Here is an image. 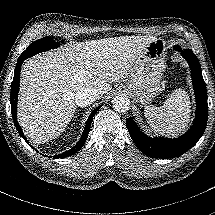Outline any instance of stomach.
<instances>
[{
	"mask_svg": "<svg viewBox=\"0 0 215 215\" xmlns=\"http://www.w3.org/2000/svg\"><path fill=\"white\" fill-rule=\"evenodd\" d=\"M167 49L168 43L164 39L152 42L135 62L130 80L118 91H127L140 104L150 103L162 91L161 79L166 69Z\"/></svg>",
	"mask_w": 215,
	"mask_h": 215,
	"instance_id": "1",
	"label": "stomach"
}]
</instances>
